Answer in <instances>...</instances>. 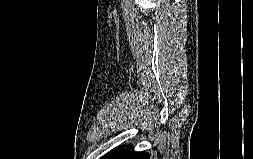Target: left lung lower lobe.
I'll return each mask as SVG.
<instances>
[{"instance_id":"1","label":"left lung lower lobe","mask_w":253,"mask_h":159,"mask_svg":"<svg viewBox=\"0 0 253 159\" xmlns=\"http://www.w3.org/2000/svg\"><path fill=\"white\" fill-rule=\"evenodd\" d=\"M102 159H149V154L121 149L105 155Z\"/></svg>"}]
</instances>
